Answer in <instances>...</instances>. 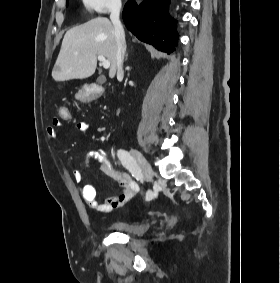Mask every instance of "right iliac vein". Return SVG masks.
Here are the masks:
<instances>
[{
    "label": "right iliac vein",
    "instance_id": "obj_1",
    "mask_svg": "<svg viewBox=\"0 0 280 283\" xmlns=\"http://www.w3.org/2000/svg\"><path fill=\"white\" fill-rule=\"evenodd\" d=\"M132 155L138 162L146 180H149L153 175V169L144 155L137 149H132Z\"/></svg>",
    "mask_w": 280,
    "mask_h": 283
}]
</instances>
